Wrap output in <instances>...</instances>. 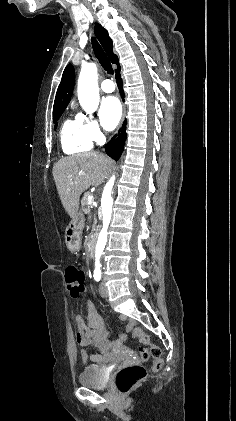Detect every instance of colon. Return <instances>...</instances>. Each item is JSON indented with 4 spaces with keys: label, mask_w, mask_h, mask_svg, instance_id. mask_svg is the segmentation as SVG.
<instances>
[{
    "label": "colon",
    "mask_w": 236,
    "mask_h": 421,
    "mask_svg": "<svg viewBox=\"0 0 236 421\" xmlns=\"http://www.w3.org/2000/svg\"><path fill=\"white\" fill-rule=\"evenodd\" d=\"M66 281L71 297L79 298L84 292V273L75 266H69L66 270ZM133 334L140 342L147 346L140 350L141 358L146 361L150 358L154 359V370H158L162 366L161 349L157 345H150L148 335L140 328H134ZM147 376V370L139 365H129L120 369L116 375V386L123 393H129Z\"/></svg>",
    "instance_id": "colon-1"
}]
</instances>
